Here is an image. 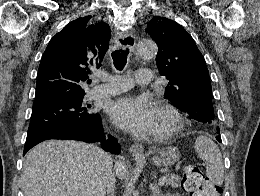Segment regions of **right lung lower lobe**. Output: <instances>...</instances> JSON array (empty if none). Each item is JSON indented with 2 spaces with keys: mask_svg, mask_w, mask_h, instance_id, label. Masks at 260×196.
Instances as JSON below:
<instances>
[{
  "mask_svg": "<svg viewBox=\"0 0 260 196\" xmlns=\"http://www.w3.org/2000/svg\"><path fill=\"white\" fill-rule=\"evenodd\" d=\"M49 139H60V140H78L87 143L101 142V146L105 151L110 153L119 154L120 145L116 138L109 135V138L105 140L102 122L98 114L95 115V119L87 124L78 126L73 129L60 131L57 133L49 134L37 138L33 141L26 142L24 146L23 155L36 144L49 140Z\"/></svg>",
  "mask_w": 260,
  "mask_h": 196,
  "instance_id": "98d812e1",
  "label": "right lung lower lobe"
}]
</instances>
